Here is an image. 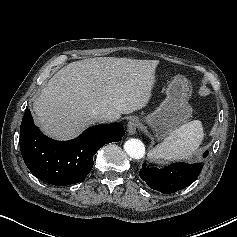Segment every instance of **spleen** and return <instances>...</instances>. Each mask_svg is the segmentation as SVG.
<instances>
[{
	"label": "spleen",
	"mask_w": 237,
	"mask_h": 237,
	"mask_svg": "<svg viewBox=\"0 0 237 237\" xmlns=\"http://www.w3.org/2000/svg\"><path fill=\"white\" fill-rule=\"evenodd\" d=\"M204 138L201 121L193 120L174 130L149 152L152 160H190Z\"/></svg>",
	"instance_id": "3e777b00"
}]
</instances>
